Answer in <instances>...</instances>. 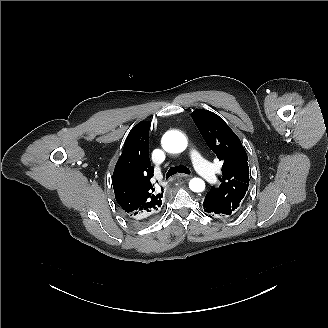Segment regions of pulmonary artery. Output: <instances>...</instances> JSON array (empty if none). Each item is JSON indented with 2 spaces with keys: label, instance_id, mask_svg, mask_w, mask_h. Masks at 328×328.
Wrapping results in <instances>:
<instances>
[{
  "label": "pulmonary artery",
  "instance_id": "pulmonary-artery-1",
  "mask_svg": "<svg viewBox=\"0 0 328 328\" xmlns=\"http://www.w3.org/2000/svg\"><path fill=\"white\" fill-rule=\"evenodd\" d=\"M187 159L190 163L195 164L194 170L196 173L200 174L203 177H210L214 173V168L210 164H206L201 160V155L196 150H191L187 154Z\"/></svg>",
  "mask_w": 328,
  "mask_h": 328
}]
</instances>
